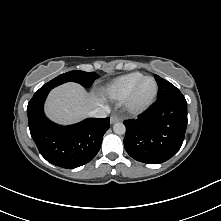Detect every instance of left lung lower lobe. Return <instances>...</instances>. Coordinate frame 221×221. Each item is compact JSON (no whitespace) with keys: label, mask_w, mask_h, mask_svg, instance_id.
Masks as SVG:
<instances>
[{"label":"left lung lower lobe","mask_w":221,"mask_h":221,"mask_svg":"<svg viewBox=\"0 0 221 221\" xmlns=\"http://www.w3.org/2000/svg\"><path fill=\"white\" fill-rule=\"evenodd\" d=\"M124 124L128 154L143 163H163L175 155L184 141L187 102L183 95L157 100L137 120Z\"/></svg>","instance_id":"0a47b994"}]
</instances>
